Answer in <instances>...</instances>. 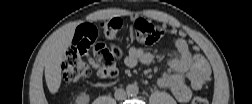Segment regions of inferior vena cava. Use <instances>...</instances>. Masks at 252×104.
Wrapping results in <instances>:
<instances>
[{
  "label": "inferior vena cava",
  "instance_id": "obj_1",
  "mask_svg": "<svg viewBox=\"0 0 252 104\" xmlns=\"http://www.w3.org/2000/svg\"><path fill=\"white\" fill-rule=\"evenodd\" d=\"M115 99L122 101L126 99L127 95L124 89H117L114 93Z\"/></svg>",
  "mask_w": 252,
  "mask_h": 104
}]
</instances>
